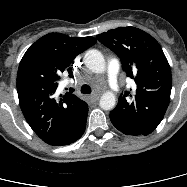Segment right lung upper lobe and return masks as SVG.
Here are the masks:
<instances>
[{
    "label": "right lung upper lobe",
    "mask_w": 187,
    "mask_h": 187,
    "mask_svg": "<svg viewBox=\"0 0 187 187\" xmlns=\"http://www.w3.org/2000/svg\"><path fill=\"white\" fill-rule=\"evenodd\" d=\"M96 43L93 37L75 38L49 33L24 54L17 73V92L23 115L32 130L46 143L65 140L88 113V105L72 94L59 95L58 81L70 64Z\"/></svg>",
    "instance_id": "obj_1"
}]
</instances>
